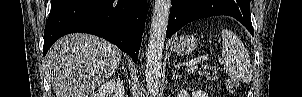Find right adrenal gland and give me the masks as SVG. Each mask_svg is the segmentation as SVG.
Listing matches in <instances>:
<instances>
[{"label": "right adrenal gland", "instance_id": "right-adrenal-gland-1", "mask_svg": "<svg viewBox=\"0 0 302 97\" xmlns=\"http://www.w3.org/2000/svg\"><path fill=\"white\" fill-rule=\"evenodd\" d=\"M120 69H122L125 72V67L123 64L121 65Z\"/></svg>", "mask_w": 302, "mask_h": 97}]
</instances>
